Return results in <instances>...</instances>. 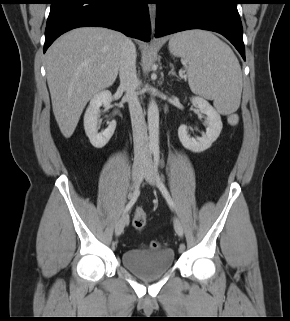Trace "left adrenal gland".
Listing matches in <instances>:
<instances>
[{
    "instance_id": "left-adrenal-gland-1",
    "label": "left adrenal gland",
    "mask_w": 290,
    "mask_h": 321,
    "mask_svg": "<svg viewBox=\"0 0 290 321\" xmlns=\"http://www.w3.org/2000/svg\"><path fill=\"white\" fill-rule=\"evenodd\" d=\"M170 67H171V70L170 72L168 73V75H171V76H175L178 78L176 72L174 71V65L172 63H170Z\"/></svg>"
}]
</instances>
